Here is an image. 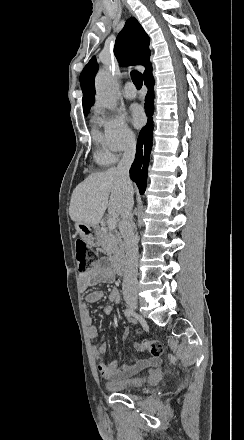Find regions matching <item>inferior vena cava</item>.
Masks as SVG:
<instances>
[{
	"label": "inferior vena cava",
	"instance_id": "obj_1",
	"mask_svg": "<svg viewBox=\"0 0 244 440\" xmlns=\"http://www.w3.org/2000/svg\"><path fill=\"white\" fill-rule=\"evenodd\" d=\"M136 140L132 138L120 160L116 170L126 192L121 210L122 226L120 232L125 244V270L122 284L123 296L137 294V264H138V242L133 232V188L129 178V170L135 158Z\"/></svg>",
	"mask_w": 244,
	"mask_h": 440
}]
</instances>
